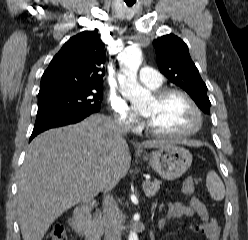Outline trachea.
<instances>
[{
	"mask_svg": "<svg viewBox=\"0 0 248 240\" xmlns=\"http://www.w3.org/2000/svg\"><path fill=\"white\" fill-rule=\"evenodd\" d=\"M125 2L128 6L131 7L135 3V0H125Z\"/></svg>",
	"mask_w": 248,
	"mask_h": 240,
	"instance_id": "3493384b",
	"label": "trachea"
}]
</instances>
